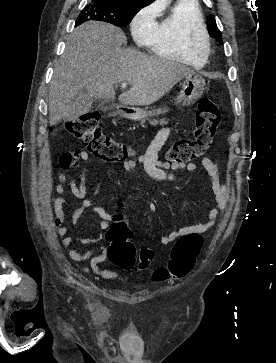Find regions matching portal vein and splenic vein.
Wrapping results in <instances>:
<instances>
[{
	"label": "portal vein and splenic vein",
	"mask_w": 276,
	"mask_h": 363,
	"mask_svg": "<svg viewBox=\"0 0 276 363\" xmlns=\"http://www.w3.org/2000/svg\"><path fill=\"white\" fill-rule=\"evenodd\" d=\"M127 84L126 83H122L121 87L122 88H126Z\"/></svg>",
	"instance_id": "1"
}]
</instances>
